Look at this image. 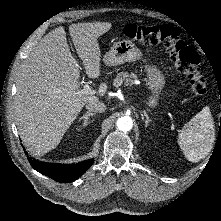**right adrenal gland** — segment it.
<instances>
[{"label":"right adrenal gland","instance_id":"2a0ac1e0","mask_svg":"<svg viewBox=\"0 0 221 221\" xmlns=\"http://www.w3.org/2000/svg\"><path fill=\"white\" fill-rule=\"evenodd\" d=\"M93 115H95V113H92V112H86L82 117H80L79 120H78L79 122H80L81 120H84V122H83V124H82L81 127H84L85 125H87L90 116H93Z\"/></svg>","mask_w":221,"mask_h":221}]
</instances>
